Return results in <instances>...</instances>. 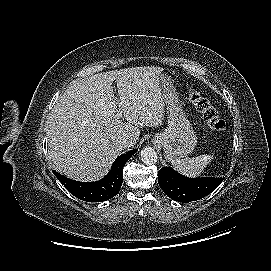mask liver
Wrapping results in <instances>:
<instances>
[{"mask_svg": "<svg viewBox=\"0 0 271 271\" xmlns=\"http://www.w3.org/2000/svg\"><path fill=\"white\" fill-rule=\"evenodd\" d=\"M163 71L155 66L132 67L71 83L56 101L46 127L55 169L78 181L99 180L124 149L118 145L119 138L129 136L135 145L139 128L162 124ZM114 80L118 98L113 93ZM118 110L127 122L116 118Z\"/></svg>", "mask_w": 271, "mask_h": 271, "instance_id": "6515ba94", "label": "liver"}]
</instances>
